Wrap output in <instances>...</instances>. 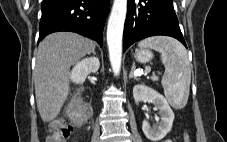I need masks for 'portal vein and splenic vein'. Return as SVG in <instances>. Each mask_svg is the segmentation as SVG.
Segmentation results:
<instances>
[{"instance_id":"portal-vein-and-splenic-vein-1","label":"portal vein and splenic vein","mask_w":227,"mask_h":142,"mask_svg":"<svg viewBox=\"0 0 227 142\" xmlns=\"http://www.w3.org/2000/svg\"><path fill=\"white\" fill-rule=\"evenodd\" d=\"M151 71V68H146L145 73H149ZM144 72L139 71V75H142Z\"/></svg>"}]
</instances>
